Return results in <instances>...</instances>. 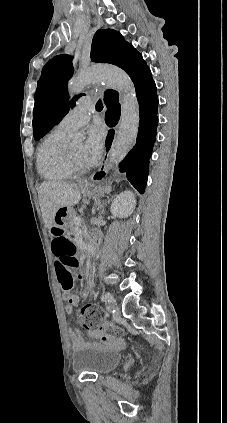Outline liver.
Wrapping results in <instances>:
<instances>
[{
  "label": "liver",
  "mask_w": 227,
  "mask_h": 423,
  "mask_svg": "<svg viewBox=\"0 0 227 423\" xmlns=\"http://www.w3.org/2000/svg\"><path fill=\"white\" fill-rule=\"evenodd\" d=\"M39 204L45 227L50 229L54 223L55 213L59 208L75 206L81 200L77 184L67 182H42L38 188Z\"/></svg>",
  "instance_id": "obj_1"
}]
</instances>
